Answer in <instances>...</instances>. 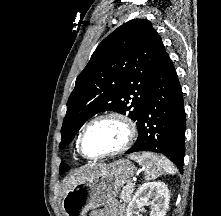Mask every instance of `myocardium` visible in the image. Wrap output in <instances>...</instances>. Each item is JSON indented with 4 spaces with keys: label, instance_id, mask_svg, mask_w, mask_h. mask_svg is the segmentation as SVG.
I'll use <instances>...</instances> for the list:
<instances>
[{
    "label": "myocardium",
    "instance_id": "1",
    "mask_svg": "<svg viewBox=\"0 0 221 216\" xmlns=\"http://www.w3.org/2000/svg\"><path fill=\"white\" fill-rule=\"evenodd\" d=\"M103 120H114L118 123H120L125 131V138L124 141L118 146L116 149L112 151H108L99 155H87L83 150V138L87 130L94 125L95 123ZM137 126L136 123L126 114H123L121 112L117 111H110L103 113L101 115H98L94 118H92L81 130L78 140H77V149L78 152L87 159H102L106 157H111L118 155L124 151H126L135 141L137 137Z\"/></svg>",
    "mask_w": 221,
    "mask_h": 216
}]
</instances>
